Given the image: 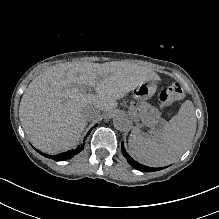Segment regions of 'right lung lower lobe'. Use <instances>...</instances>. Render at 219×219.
Masks as SVG:
<instances>
[{"instance_id": "obj_1", "label": "right lung lower lobe", "mask_w": 219, "mask_h": 219, "mask_svg": "<svg viewBox=\"0 0 219 219\" xmlns=\"http://www.w3.org/2000/svg\"><path fill=\"white\" fill-rule=\"evenodd\" d=\"M90 132H91V130L88 132V134ZM82 149H83V145L81 147L76 148L75 150L73 149V150L67 151L66 153H60V154L55 155V156L45 155L41 152H40V154L44 155L45 157L52 158L56 161H61V160H66V159L72 158L74 155L79 153Z\"/></svg>"}]
</instances>
